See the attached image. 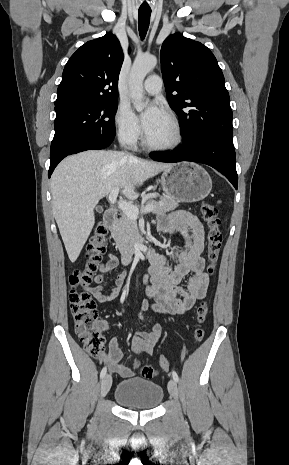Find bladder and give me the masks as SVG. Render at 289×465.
<instances>
[{
  "label": "bladder",
  "instance_id": "1",
  "mask_svg": "<svg viewBox=\"0 0 289 465\" xmlns=\"http://www.w3.org/2000/svg\"><path fill=\"white\" fill-rule=\"evenodd\" d=\"M163 396L164 391L159 384L139 377L120 381L114 392L116 402L123 407L138 410L156 408Z\"/></svg>",
  "mask_w": 289,
  "mask_h": 465
}]
</instances>
